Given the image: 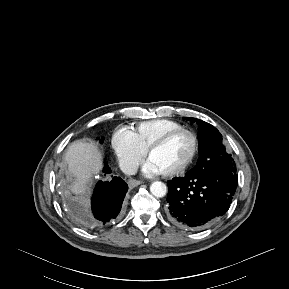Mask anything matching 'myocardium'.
<instances>
[{"mask_svg":"<svg viewBox=\"0 0 289 289\" xmlns=\"http://www.w3.org/2000/svg\"><path fill=\"white\" fill-rule=\"evenodd\" d=\"M181 134H187L191 137L192 142H193V148L191 151L190 156L188 157V159L178 168L166 172V173H161L164 177H175L178 176L180 174H183L194 162L198 151H199V138L197 136V134L189 129H176L173 130L171 132H168L167 134H165L164 136H162L161 138H159L157 141H155L146 151V156L147 159L149 160V158L151 157V155L163 148L165 145H167L172 139H174L175 137L181 135Z\"/></svg>","mask_w":289,"mask_h":289,"instance_id":"f54148a6","label":"myocardium"}]
</instances>
